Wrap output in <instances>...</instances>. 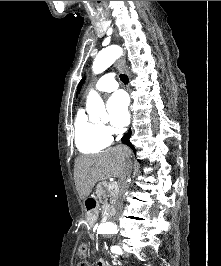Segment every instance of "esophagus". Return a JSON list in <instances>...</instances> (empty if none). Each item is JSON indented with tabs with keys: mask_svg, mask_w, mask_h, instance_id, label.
<instances>
[{
	"mask_svg": "<svg viewBox=\"0 0 221 266\" xmlns=\"http://www.w3.org/2000/svg\"><path fill=\"white\" fill-rule=\"evenodd\" d=\"M117 66L120 70H122L129 78L130 80V73L125 65V60L123 58H120L118 61H117Z\"/></svg>",
	"mask_w": 221,
	"mask_h": 266,
	"instance_id": "1",
	"label": "esophagus"
}]
</instances>
